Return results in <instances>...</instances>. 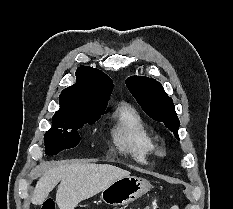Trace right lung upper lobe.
Returning a JSON list of instances; mask_svg holds the SVG:
<instances>
[{
    "instance_id": "cb5924a9",
    "label": "right lung upper lobe",
    "mask_w": 233,
    "mask_h": 209,
    "mask_svg": "<svg viewBox=\"0 0 233 209\" xmlns=\"http://www.w3.org/2000/svg\"><path fill=\"white\" fill-rule=\"evenodd\" d=\"M76 78V83L60 94V110L54 116L78 110L105 111L113 90L112 80L89 66L79 67Z\"/></svg>"
}]
</instances>
